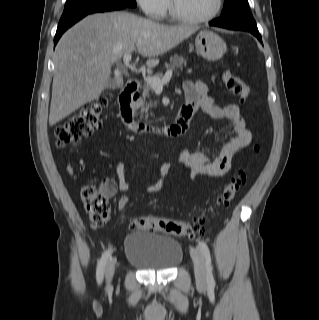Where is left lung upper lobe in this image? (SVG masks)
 Instances as JSON below:
<instances>
[{
  "mask_svg": "<svg viewBox=\"0 0 319 320\" xmlns=\"http://www.w3.org/2000/svg\"><path fill=\"white\" fill-rule=\"evenodd\" d=\"M231 14H244L252 16L248 5V0H224V9L221 13V17Z\"/></svg>",
  "mask_w": 319,
  "mask_h": 320,
  "instance_id": "left-lung-upper-lobe-1",
  "label": "left lung upper lobe"
}]
</instances>
